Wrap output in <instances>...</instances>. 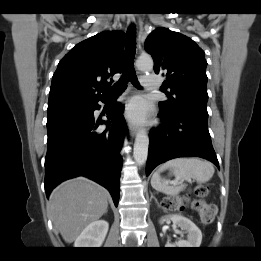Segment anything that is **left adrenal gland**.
Returning <instances> with one entry per match:
<instances>
[{"label": "left adrenal gland", "mask_w": 261, "mask_h": 261, "mask_svg": "<svg viewBox=\"0 0 261 261\" xmlns=\"http://www.w3.org/2000/svg\"><path fill=\"white\" fill-rule=\"evenodd\" d=\"M150 194H151V199L153 198V199L155 200L156 204H157L158 206H160L158 200L155 198V196L153 195V193L150 192Z\"/></svg>", "instance_id": "obj_1"}]
</instances>
